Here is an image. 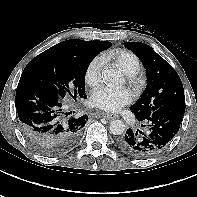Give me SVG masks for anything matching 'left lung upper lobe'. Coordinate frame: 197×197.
Masks as SVG:
<instances>
[{"label": "left lung upper lobe", "instance_id": "1", "mask_svg": "<svg viewBox=\"0 0 197 197\" xmlns=\"http://www.w3.org/2000/svg\"><path fill=\"white\" fill-rule=\"evenodd\" d=\"M124 46L141 60L147 75V87L138 101L130 107L138 120H144L158 108L171 103H185L180 77L171 65L149 45L126 42Z\"/></svg>", "mask_w": 197, "mask_h": 197}]
</instances>
